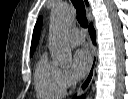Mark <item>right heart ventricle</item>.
Returning a JSON list of instances; mask_svg holds the SVG:
<instances>
[{
    "label": "right heart ventricle",
    "instance_id": "right-heart-ventricle-1",
    "mask_svg": "<svg viewBox=\"0 0 128 99\" xmlns=\"http://www.w3.org/2000/svg\"><path fill=\"white\" fill-rule=\"evenodd\" d=\"M35 91L40 99H58L65 93L60 80V69L50 63L45 54L41 56L36 66Z\"/></svg>",
    "mask_w": 128,
    "mask_h": 99
}]
</instances>
